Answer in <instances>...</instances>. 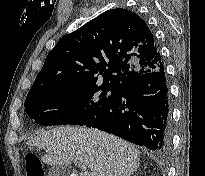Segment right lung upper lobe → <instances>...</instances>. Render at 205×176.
I'll return each instance as SVG.
<instances>
[{
	"mask_svg": "<svg viewBox=\"0 0 205 176\" xmlns=\"http://www.w3.org/2000/svg\"><path fill=\"white\" fill-rule=\"evenodd\" d=\"M162 66L145 21L129 10L112 9L57 42L29 93L50 87L97 86L99 82L118 89Z\"/></svg>",
	"mask_w": 205,
	"mask_h": 176,
	"instance_id": "obj_1",
	"label": "right lung upper lobe"
}]
</instances>
